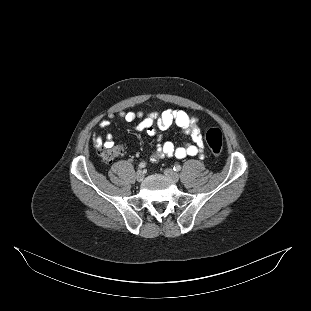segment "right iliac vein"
I'll use <instances>...</instances> for the list:
<instances>
[{"label": "right iliac vein", "mask_w": 311, "mask_h": 311, "mask_svg": "<svg viewBox=\"0 0 311 311\" xmlns=\"http://www.w3.org/2000/svg\"><path fill=\"white\" fill-rule=\"evenodd\" d=\"M135 178H136V180H137L138 182L143 181V179H144V173H143L141 170H138V171L136 172Z\"/></svg>", "instance_id": "obj_1"}]
</instances>
